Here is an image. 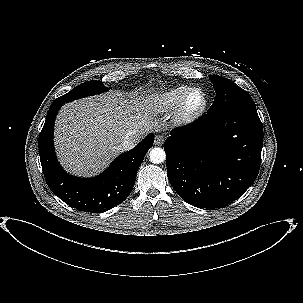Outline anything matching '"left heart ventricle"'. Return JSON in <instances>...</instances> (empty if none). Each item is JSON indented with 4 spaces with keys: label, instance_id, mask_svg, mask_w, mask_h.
<instances>
[{
    "label": "left heart ventricle",
    "instance_id": "left-heart-ventricle-1",
    "mask_svg": "<svg viewBox=\"0 0 303 303\" xmlns=\"http://www.w3.org/2000/svg\"><path fill=\"white\" fill-rule=\"evenodd\" d=\"M201 94L196 92V93H193L192 96L190 97V100H189V105L191 107H197L201 104Z\"/></svg>",
    "mask_w": 303,
    "mask_h": 303
}]
</instances>
